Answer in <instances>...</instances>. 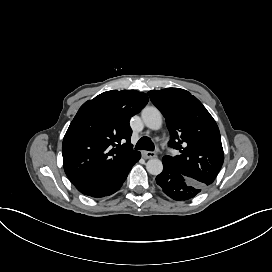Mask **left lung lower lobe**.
<instances>
[{"mask_svg":"<svg viewBox=\"0 0 272 272\" xmlns=\"http://www.w3.org/2000/svg\"><path fill=\"white\" fill-rule=\"evenodd\" d=\"M163 192L177 201H186L195 197L205 188L204 185L187 178L163 162V171L156 177Z\"/></svg>","mask_w":272,"mask_h":272,"instance_id":"0a47b994","label":"left lung lower lobe"}]
</instances>
